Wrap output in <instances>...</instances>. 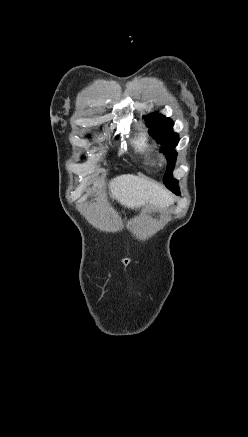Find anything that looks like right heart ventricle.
I'll return each mask as SVG.
<instances>
[{
	"mask_svg": "<svg viewBox=\"0 0 248 437\" xmlns=\"http://www.w3.org/2000/svg\"><path fill=\"white\" fill-rule=\"evenodd\" d=\"M135 150L141 154L147 155L154 149V145L149 141L144 132H140L133 140Z\"/></svg>",
	"mask_w": 248,
	"mask_h": 437,
	"instance_id": "obj_1",
	"label": "right heart ventricle"
}]
</instances>
